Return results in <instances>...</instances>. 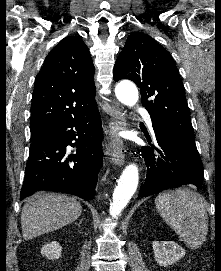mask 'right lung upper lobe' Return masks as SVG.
I'll use <instances>...</instances> for the list:
<instances>
[{
	"label": "right lung upper lobe",
	"instance_id": "right-lung-upper-lobe-1",
	"mask_svg": "<svg viewBox=\"0 0 221 271\" xmlns=\"http://www.w3.org/2000/svg\"><path fill=\"white\" fill-rule=\"evenodd\" d=\"M94 66L88 47L79 37L61 40L36 76L30 130L52 127L96 108Z\"/></svg>",
	"mask_w": 221,
	"mask_h": 271
}]
</instances>
